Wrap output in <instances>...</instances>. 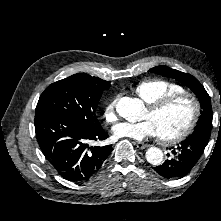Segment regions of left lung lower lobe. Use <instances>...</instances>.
<instances>
[{"label": "left lung lower lobe", "mask_w": 221, "mask_h": 221, "mask_svg": "<svg viewBox=\"0 0 221 221\" xmlns=\"http://www.w3.org/2000/svg\"><path fill=\"white\" fill-rule=\"evenodd\" d=\"M210 134L207 131L193 133L172 151L169 159L162 165L154 167V170L167 179L186 176L203 154Z\"/></svg>", "instance_id": "left-lung-lower-lobe-1"}]
</instances>
